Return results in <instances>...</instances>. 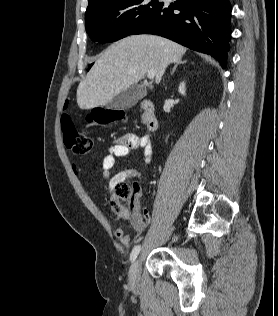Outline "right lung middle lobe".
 Listing matches in <instances>:
<instances>
[{
  "label": "right lung middle lobe",
  "instance_id": "dd1d6c3e",
  "mask_svg": "<svg viewBox=\"0 0 278 316\" xmlns=\"http://www.w3.org/2000/svg\"><path fill=\"white\" fill-rule=\"evenodd\" d=\"M158 0H110L86 11V32L108 43L129 36L159 9Z\"/></svg>",
  "mask_w": 278,
  "mask_h": 316
}]
</instances>
